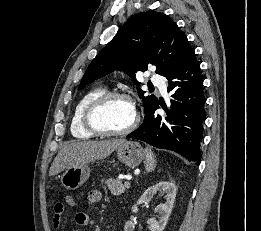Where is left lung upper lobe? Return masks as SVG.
Returning <instances> with one entry per match:
<instances>
[{"mask_svg":"<svg viewBox=\"0 0 261 231\" xmlns=\"http://www.w3.org/2000/svg\"><path fill=\"white\" fill-rule=\"evenodd\" d=\"M156 48V50H154ZM160 52L158 53V51ZM195 55L187 37L177 24L163 13L142 12L132 16L117 35L98 53L88 66L79 89L114 70H123L133 79L135 72L146 71L149 64L156 73L167 77L184 66ZM144 111L158 101L145 96L137 87Z\"/></svg>","mask_w":261,"mask_h":231,"instance_id":"5c2ea615","label":"left lung upper lobe"}]
</instances>
